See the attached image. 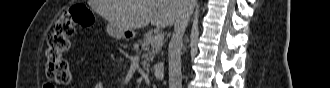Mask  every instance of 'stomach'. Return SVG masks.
I'll return each instance as SVG.
<instances>
[{"instance_id": "obj_1", "label": "stomach", "mask_w": 330, "mask_h": 88, "mask_svg": "<svg viewBox=\"0 0 330 88\" xmlns=\"http://www.w3.org/2000/svg\"><path fill=\"white\" fill-rule=\"evenodd\" d=\"M125 32L126 30H119V31H114L113 33L117 36H120V37H125Z\"/></svg>"}]
</instances>
